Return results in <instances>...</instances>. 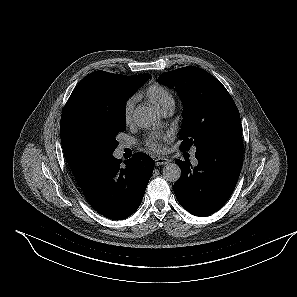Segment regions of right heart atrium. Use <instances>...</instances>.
I'll list each match as a JSON object with an SVG mask.
<instances>
[{"label": "right heart atrium", "instance_id": "obj_1", "mask_svg": "<svg viewBox=\"0 0 297 297\" xmlns=\"http://www.w3.org/2000/svg\"><path fill=\"white\" fill-rule=\"evenodd\" d=\"M135 98H129L123 108V119L126 124H129L132 119V113L134 108Z\"/></svg>", "mask_w": 297, "mask_h": 297}]
</instances>
